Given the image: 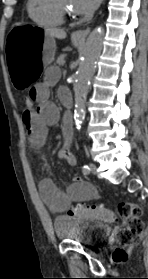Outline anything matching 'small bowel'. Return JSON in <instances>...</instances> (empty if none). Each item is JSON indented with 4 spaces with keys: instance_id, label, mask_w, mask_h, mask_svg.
<instances>
[{
    "instance_id": "1",
    "label": "small bowel",
    "mask_w": 148,
    "mask_h": 279,
    "mask_svg": "<svg viewBox=\"0 0 148 279\" xmlns=\"http://www.w3.org/2000/svg\"><path fill=\"white\" fill-rule=\"evenodd\" d=\"M59 77L58 68L47 69L44 80L32 87L28 93L34 98V102L38 103V106L36 108H33V105L25 107L22 117L31 144L36 148L44 145L48 128L60 120L58 107L49 100L50 88L58 82ZM57 95L62 102L70 98L69 92L65 88H60ZM63 130L67 142L58 152V157L66 160L70 165H75L76 159L68 142L71 133V115L69 113L63 117ZM39 191L45 204L55 212L66 211L72 202L86 201L96 196L95 188L79 177L72 179L66 191L60 190L51 180L44 179L40 182Z\"/></svg>"
}]
</instances>
